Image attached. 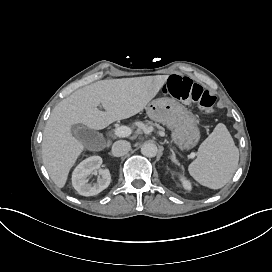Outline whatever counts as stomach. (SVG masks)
I'll return each instance as SVG.
<instances>
[{
    "label": "stomach",
    "mask_w": 272,
    "mask_h": 272,
    "mask_svg": "<svg viewBox=\"0 0 272 272\" xmlns=\"http://www.w3.org/2000/svg\"><path fill=\"white\" fill-rule=\"evenodd\" d=\"M148 116L171 131L172 142L183 150H191L201 138L195 115L173 98H159L146 107Z\"/></svg>",
    "instance_id": "0dacf381"
}]
</instances>
